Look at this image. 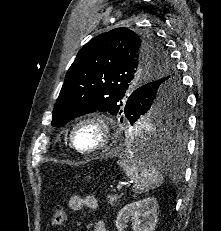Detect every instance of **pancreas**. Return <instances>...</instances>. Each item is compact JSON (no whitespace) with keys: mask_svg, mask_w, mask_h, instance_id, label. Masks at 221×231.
<instances>
[{"mask_svg":"<svg viewBox=\"0 0 221 231\" xmlns=\"http://www.w3.org/2000/svg\"><path fill=\"white\" fill-rule=\"evenodd\" d=\"M121 198V195H114V196H107V202L110 204H113L115 202H118V200Z\"/></svg>","mask_w":221,"mask_h":231,"instance_id":"pancreas-1","label":"pancreas"}]
</instances>
